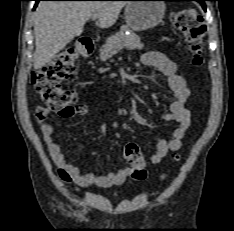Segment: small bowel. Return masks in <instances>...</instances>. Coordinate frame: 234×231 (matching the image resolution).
<instances>
[{
	"label": "small bowel",
	"instance_id": "small-bowel-1",
	"mask_svg": "<svg viewBox=\"0 0 234 231\" xmlns=\"http://www.w3.org/2000/svg\"><path fill=\"white\" fill-rule=\"evenodd\" d=\"M142 62L146 66L157 68L166 76L169 88L174 95V100L169 105L163 119L176 121L178 127L173 131L171 139H158L156 151L151 156L150 161L152 164H159L167 154L175 153L181 149L185 135L192 128V116L187 107L190 91L184 78L177 74L176 64L165 54L149 52L142 57ZM89 111L87 105L77 104L70 109L60 111V115L66 118L86 116L89 114ZM49 114L50 110L47 107L38 106L35 110V119L62 182L81 188L89 186L110 188L124 184L132 171L130 167H120L109 173H93L85 172L78 165L70 163L63 149L54 138V127L49 120ZM113 125L117 126L116 120H114Z\"/></svg>",
	"mask_w": 234,
	"mask_h": 231
}]
</instances>
